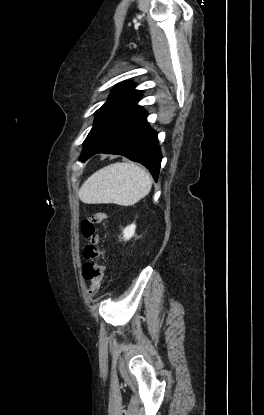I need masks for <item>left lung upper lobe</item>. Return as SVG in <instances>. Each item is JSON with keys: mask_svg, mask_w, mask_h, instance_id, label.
I'll return each instance as SVG.
<instances>
[{"mask_svg": "<svg viewBox=\"0 0 264 415\" xmlns=\"http://www.w3.org/2000/svg\"><path fill=\"white\" fill-rule=\"evenodd\" d=\"M134 87L135 85L133 83L125 82L122 84H118L114 88V91L110 95L108 101L96 111V118L94 124L99 119V117L111 107L115 106L116 104L120 103L121 101L129 97L141 94V91L135 90Z\"/></svg>", "mask_w": 264, "mask_h": 415, "instance_id": "left-lung-upper-lobe-1", "label": "left lung upper lobe"}]
</instances>
